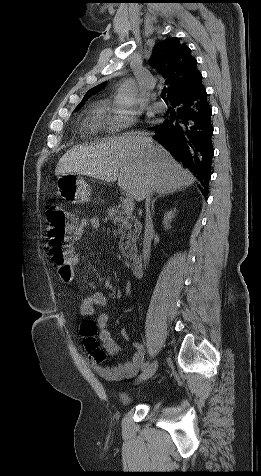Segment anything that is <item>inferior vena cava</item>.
<instances>
[{
  "label": "inferior vena cava",
  "instance_id": "obj_1",
  "mask_svg": "<svg viewBox=\"0 0 261 476\" xmlns=\"http://www.w3.org/2000/svg\"><path fill=\"white\" fill-rule=\"evenodd\" d=\"M152 195V191L149 187H146L144 190V196L146 198L145 208H146V220H145V232H144V239H143V259L144 262L147 263L150 257L151 251V241H152V232H153V224L150 212V196Z\"/></svg>",
  "mask_w": 261,
  "mask_h": 476
}]
</instances>
